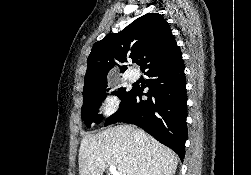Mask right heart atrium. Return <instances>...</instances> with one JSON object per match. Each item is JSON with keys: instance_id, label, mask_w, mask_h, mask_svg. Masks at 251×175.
Here are the masks:
<instances>
[{"instance_id": "right-heart-atrium-1", "label": "right heart atrium", "mask_w": 251, "mask_h": 175, "mask_svg": "<svg viewBox=\"0 0 251 175\" xmlns=\"http://www.w3.org/2000/svg\"><path fill=\"white\" fill-rule=\"evenodd\" d=\"M119 108V99L113 94H107L101 101L99 111L104 117H108L115 113Z\"/></svg>"}]
</instances>
